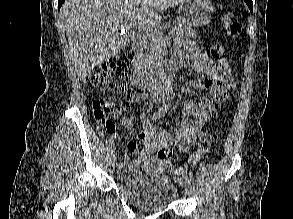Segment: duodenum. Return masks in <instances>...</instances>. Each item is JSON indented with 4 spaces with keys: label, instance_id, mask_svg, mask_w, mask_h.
I'll use <instances>...</instances> for the list:
<instances>
[{
    "label": "duodenum",
    "instance_id": "410a0bca",
    "mask_svg": "<svg viewBox=\"0 0 293 219\" xmlns=\"http://www.w3.org/2000/svg\"><path fill=\"white\" fill-rule=\"evenodd\" d=\"M143 44H144V36L142 34H139L133 43V53L135 57V63H134V71L131 75V84L138 89L146 88L150 82L148 79V72L146 69V66L142 62L141 54L143 50ZM177 63L175 61H170L167 64L164 65L163 68V74L165 77H171L175 74L177 70Z\"/></svg>",
    "mask_w": 293,
    "mask_h": 219
}]
</instances>
